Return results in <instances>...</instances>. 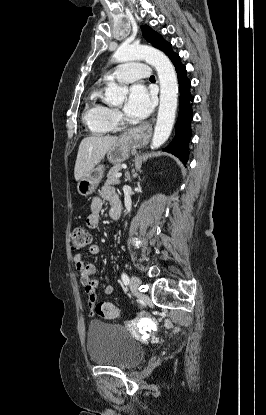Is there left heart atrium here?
I'll use <instances>...</instances> for the list:
<instances>
[{"label": "left heart atrium", "instance_id": "left-heart-atrium-1", "mask_svg": "<svg viewBox=\"0 0 266 415\" xmlns=\"http://www.w3.org/2000/svg\"><path fill=\"white\" fill-rule=\"evenodd\" d=\"M153 106V96L144 85L134 84L131 86L124 106V111L128 116L143 118L152 111Z\"/></svg>", "mask_w": 266, "mask_h": 415}]
</instances>
